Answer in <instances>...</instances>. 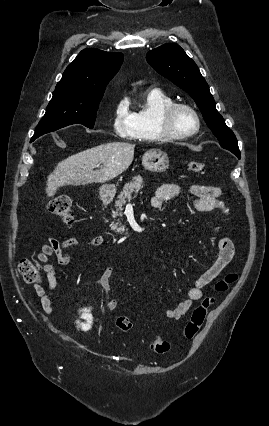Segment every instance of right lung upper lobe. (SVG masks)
<instances>
[{
  "label": "right lung upper lobe",
  "instance_id": "obj_1",
  "mask_svg": "<svg viewBox=\"0 0 269 426\" xmlns=\"http://www.w3.org/2000/svg\"><path fill=\"white\" fill-rule=\"evenodd\" d=\"M123 54L99 49L82 50L66 68L53 94L69 98L103 96L106 85L118 72Z\"/></svg>",
  "mask_w": 269,
  "mask_h": 426
}]
</instances>
